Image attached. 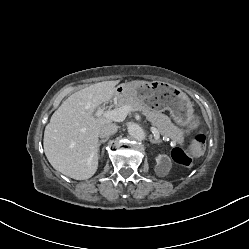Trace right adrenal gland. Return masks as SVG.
<instances>
[{
	"mask_svg": "<svg viewBox=\"0 0 249 249\" xmlns=\"http://www.w3.org/2000/svg\"><path fill=\"white\" fill-rule=\"evenodd\" d=\"M107 140H108V138L100 140V141L98 142V144H97V150H99L100 145H101L102 143H105ZM103 153H104V150L102 151V154H103Z\"/></svg>",
	"mask_w": 249,
	"mask_h": 249,
	"instance_id": "obj_1",
	"label": "right adrenal gland"
}]
</instances>
